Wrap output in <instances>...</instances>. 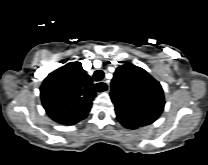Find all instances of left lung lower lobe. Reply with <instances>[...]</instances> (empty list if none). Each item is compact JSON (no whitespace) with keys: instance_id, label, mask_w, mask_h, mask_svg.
<instances>
[{"instance_id":"obj_1","label":"left lung lower lobe","mask_w":208,"mask_h":165,"mask_svg":"<svg viewBox=\"0 0 208 165\" xmlns=\"http://www.w3.org/2000/svg\"><path fill=\"white\" fill-rule=\"evenodd\" d=\"M129 129H137V128H129Z\"/></svg>"}]
</instances>
